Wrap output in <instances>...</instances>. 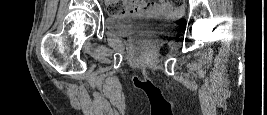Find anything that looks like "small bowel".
Returning a JSON list of instances; mask_svg holds the SVG:
<instances>
[{
  "instance_id": "small-bowel-1",
  "label": "small bowel",
  "mask_w": 267,
  "mask_h": 115,
  "mask_svg": "<svg viewBox=\"0 0 267 115\" xmlns=\"http://www.w3.org/2000/svg\"><path fill=\"white\" fill-rule=\"evenodd\" d=\"M128 12L135 14H169L172 12V6L166 0L157 2L138 1L128 5Z\"/></svg>"
}]
</instances>
